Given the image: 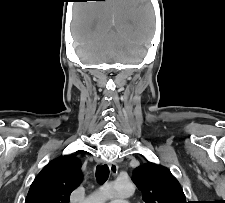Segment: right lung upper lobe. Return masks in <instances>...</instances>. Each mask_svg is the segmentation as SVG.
<instances>
[{
  "label": "right lung upper lobe",
  "instance_id": "1",
  "mask_svg": "<svg viewBox=\"0 0 225 203\" xmlns=\"http://www.w3.org/2000/svg\"><path fill=\"white\" fill-rule=\"evenodd\" d=\"M82 179L79 160L74 155L61 156L37 175L25 203H69L71 192Z\"/></svg>",
  "mask_w": 225,
  "mask_h": 203
}]
</instances>
